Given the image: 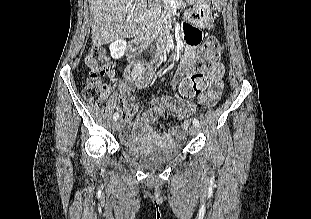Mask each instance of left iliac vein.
<instances>
[{
  "mask_svg": "<svg viewBox=\"0 0 311 219\" xmlns=\"http://www.w3.org/2000/svg\"><path fill=\"white\" fill-rule=\"evenodd\" d=\"M189 133L191 136H196L198 134V128L195 125L190 126Z\"/></svg>",
  "mask_w": 311,
  "mask_h": 219,
  "instance_id": "obj_1",
  "label": "left iliac vein"
}]
</instances>
